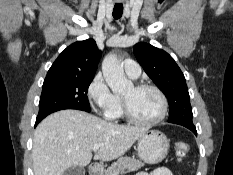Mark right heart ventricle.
<instances>
[{
    "instance_id": "1",
    "label": "right heart ventricle",
    "mask_w": 233,
    "mask_h": 175,
    "mask_svg": "<svg viewBox=\"0 0 233 175\" xmlns=\"http://www.w3.org/2000/svg\"><path fill=\"white\" fill-rule=\"evenodd\" d=\"M105 116L110 120L123 118L121 98L119 96H115V102L113 106L105 113Z\"/></svg>"
}]
</instances>
